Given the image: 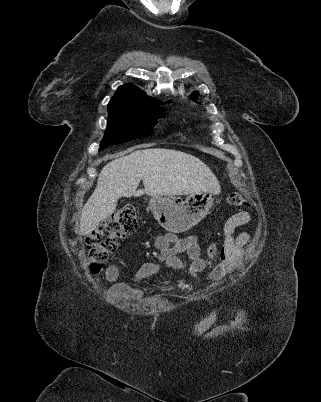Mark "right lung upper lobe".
I'll use <instances>...</instances> for the list:
<instances>
[{
    "label": "right lung upper lobe",
    "mask_w": 321,
    "mask_h": 402,
    "mask_svg": "<svg viewBox=\"0 0 321 402\" xmlns=\"http://www.w3.org/2000/svg\"><path fill=\"white\" fill-rule=\"evenodd\" d=\"M109 103L128 104L139 107L159 108L160 102L147 96L142 90L132 84L120 86Z\"/></svg>",
    "instance_id": "cb5924a9"
}]
</instances>
